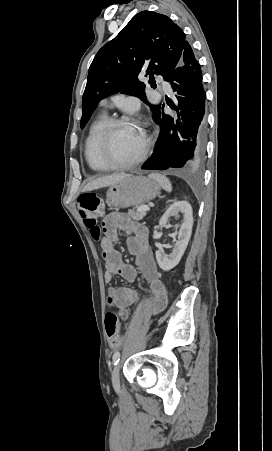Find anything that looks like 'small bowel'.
<instances>
[{
	"mask_svg": "<svg viewBox=\"0 0 272 451\" xmlns=\"http://www.w3.org/2000/svg\"><path fill=\"white\" fill-rule=\"evenodd\" d=\"M102 232L100 247L106 267L105 282L110 283L114 275L134 282L140 273L154 295L149 304L150 308L153 311L163 309L168 300L160 280L159 269L150 251L147 227L124 213L112 212L104 218ZM123 239L129 253L135 258V265L125 263L120 252L114 247L115 243ZM139 300L140 295L128 287H112L108 290L109 305L122 310L128 309ZM118 337L122 341V337Z\"/></svg>",
	"mask_w": 272,
	"mask_h": 451,
	"instance_id": "1",
	"label": "small bowel"
}]
</instances>
